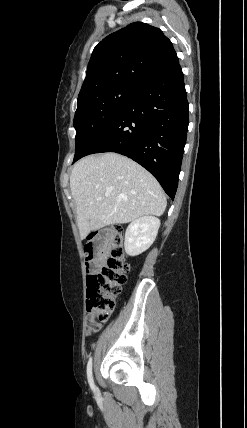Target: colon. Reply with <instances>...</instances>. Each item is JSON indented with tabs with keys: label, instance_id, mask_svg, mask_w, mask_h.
<instances>
[{
	"label": "colon",
	"instance_id": "1",
	"mask_svg": "<svg viewBox=\"0 0 247 428\" xmlns=\"http://www.w3.org/2000/svg\"><path fill=\"white\" fill-rule=\"evenodd\" d=\"M85 253L92 271L87 279V322L92 332L109 318L130 270L125 260L122 228L107 227L103 243L86 247Z\"/></svg>",
	"mask_w": 247,
	"mask_h": 428
}]
</instances>
